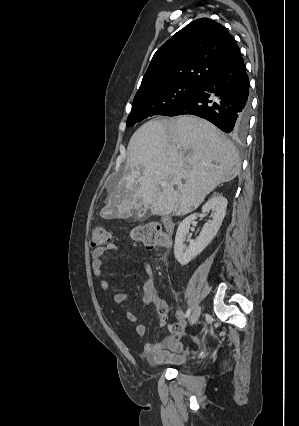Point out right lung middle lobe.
Segmentation results:
<instances>
[{
  "mask_svg": "<svg viewBox=\"0 0 299 426\" xmlns=\"http://www.w3.org/2000/svg\"><path fill=\"white\" fill-rule=\"evenodd\" d=\"M199 85L177 83L153 89L134 98L132 110L127 119V126L153 115H166L175 107L186 101L198 89Z\"/></svg>",
  "mask_w": 299,
  "mask_h": 426,
  "instance_id": "obj_1",
  "label": "right lung middle lobe"
}]
</instances>
